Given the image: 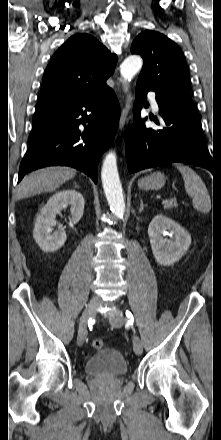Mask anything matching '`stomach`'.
Listing matches in <instances>:
<instances>
[{
    "mask_svg": "<svg viewBox=\"0 0 221 440\" xmlns=\"http://www.w3.org/2000/svg\"><path fill=\"white\" fill-rule=\"evenodd\" d=\"M166 178L163 173L157 171L138 181V187L143 190H158L165 184Z\"/></svg>",
    "mask_w": 221,
    "mask_h": 440,
    "instance_id": "1",
    "label": "stomach"
}]
</instances>
